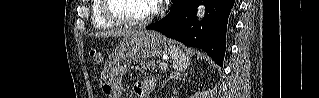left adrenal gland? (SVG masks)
I'll return each instance as SVG.
<instances>
[{"instance_id": "left-adrenal-gland-1", "label": "left adrenal gland", "mask_w": 319, "mask_h": 98, "mask_svg": "<svg viewBox=\"0 0 319 98\" xmlns=\"http://www.w3.org/2000/svg\"><path fill=\"white\" fill-rule=\"evenodd\" d=\"M177 76V72H171L169 77L164 80L162 86H164L168 81L172 80L173 78H177Z\"/></svg>"}]
</instances>
